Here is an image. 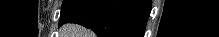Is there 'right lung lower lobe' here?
I'll return each mask as SVG.
<instances>
[{
  "instance_id": "right-lung-lower-lobe-1",
  "label": "right lung lower lobe",
  "mask_w": 219,
  "mask_h": 37,
  "mask_svg": "<svg viewBox=\"0 0 219 37\" xmlns=\"http://www.w3.org/2000/svg\"><path fill=\"white\" fill-rule=\"evenodd\" d=\"M151 0H75L61 11L60 25L78 23L98 37H142Z\"/></svg>"
}]
</instances>
